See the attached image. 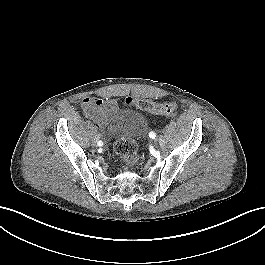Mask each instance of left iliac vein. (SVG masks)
Here are the masks:
<instances>
[{
  "instance_id": "obj_1",
  "label": "left iliac vein",
  "mask_w": 265,
  "mask_h": 265,
  "mask_svg": "<svg viewBox=\"0 0 265 265\" xmlns=\"http://www.w3.org/2000/svg\"><path fill=\"white\" fill-rule=\"evenodd\" d=\"M164 140L162 139V137L161 138H159V147L160 148H163L164 147Z\"/></svg>"
}]
</instances>
